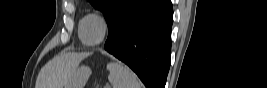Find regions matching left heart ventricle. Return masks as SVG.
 <instances>
[{"label": "left heart ventricle", "instance_id": "1", "mask_svg": "<svg viewBox=\"0 0 267 88\" xmlns=\"http://www.w3.org/2000/svg\"><path fill=\"white\" fill-rule=\"evenodd\" d=\"M85 38L88 42L97 41L102 35V26L95 18H89L84 28Z\"/></svg>", "mask_w": 267, "mask_h": 88}]
</instances>
